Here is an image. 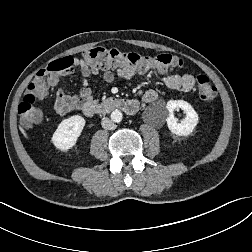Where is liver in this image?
Wrapping results in <instances>:
<instances>
[{
  "label": "liver",
  "mask_w": 252,
  "mask_h": 252,
  "mask_svg": "<svg viewBox=\"0 0 252 252\" xmlns=\"http://www.w3.org/2000/svg\"><path fill=\"white\" fill-rule=\"evenodd\" d=\"M20 130H21V132L23 133V135H24L26 138H28L26 132L24 131V129H23V128H20Z\"/></svg>",
  "instance_id": "1"
}]
</instances>
